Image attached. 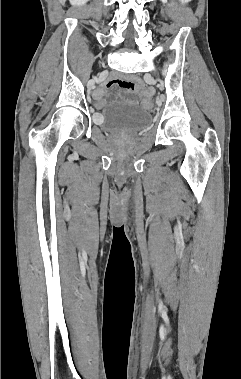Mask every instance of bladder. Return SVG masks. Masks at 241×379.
Returning a JSON list of instances; mask_svg holds the SVG:
<instances>
[{
    "mask_svg": "<svg viewBox=\"0 0 241 379\" xmlns=\"http://www.w3.org/2000/svg\"><path fill=\"white\" fill-rule=\"evenodd\" d=\"M151 114L145 108L130 103H115L101 115L100 127L109 133L133 134L146 129Z\"/></svg>",
    "mask_w": 241,
    "mask_h": 379,
    "instance_id": "31cf9c89",
    "label": "bladder"
}]
</instances>
